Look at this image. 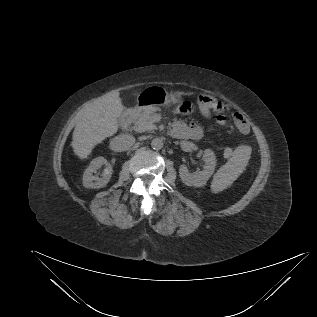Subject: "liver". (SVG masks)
Wrapping results in <instances>:
<instances>
[{
    "mask_svg": "<svg viewBox=\"0 0 317 317\" xmlns=\"http://www.w3.org/2000/svg\"><path fill=\"white\" fill-rule=\"evenodd\" d=\"M123 111L119 92L113 90L95 99L80 114L71 146L80 159L87 158L93 148L118 131V118Z\"/></svg>",
    "mask_w": 317,
    "mask_h": 317,
    "instance_id": "1",
    "label": "liver"
}]
</instances>
